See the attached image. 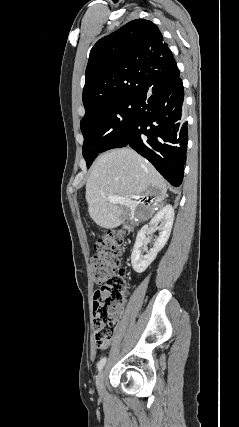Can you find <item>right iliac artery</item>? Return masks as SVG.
<instances>
[{
  "label": "right iliac artery",
  "mask_w": 239,
  "mask_h": 427,
  "mask_svg": "<svg viewBox=\"0 0 239 427\" xmlns=\"http://www.w3.org/2000/svg\"><path fill=\"white\" fill-rule=\"evenodd\" d=\"M105 363H106V358L104 357L98 362V365H97L98 370H101L103 368V366L105 365Z\"/></svg>",
  "instance_id": "82829eb1"
}]
</instances>
